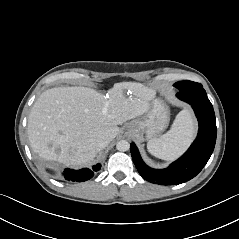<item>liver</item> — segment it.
Segmentation results:
<instances>
[{
	"label": "liver",
	"instance_id": "1",
	"mask_svg": "<svg viewBox=\"0 0 239 239\" xmlns=\"http://www.w3.org/2000/svg\"><path fill=\"white\" fill-rule=\"evenodd\" d=\"M155 96V90L136 82L115 83L107 95L89 87L48 89L28 117L30 145L46 161L85 165L101 151V139L114 140L118 125L148 112Z\"/></svg>",
	"mask_w": 239,
	"mask_h": 239
}]
</instances>
